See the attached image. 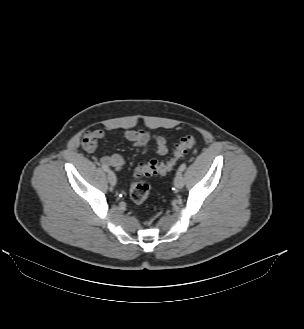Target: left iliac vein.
<instances>
[{"label":"left iliac vein","mask_w":304,"mask_h":329,"mask_svg":"<svg viewBox=\"0 0 304 329\" xmlns=\"http://www.w3.org/2000/svg\"><path fill=\"white\" fill-rule=\"evenodd\" d=\"M174 185L177 189H182L184 186V177L182 171H178L174 178Z\"/></svg>","instance_id":"4c4485c4"}]
</instances>
